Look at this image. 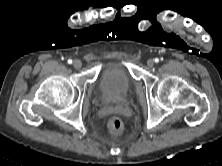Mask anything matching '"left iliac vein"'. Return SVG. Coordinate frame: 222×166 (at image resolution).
I'll return each mask as SVG.
<instances>
[{"label":"left iliac vein","mask_w":222,"mask_h":166,"mask_svg":"<svg viewBox=\"0 0 222 166\" xmlns=\"http://www.w3.org/2000/svg\"><path fill=\"white\" fill-rule=\"evenodd\" d=\"M147 65H148V67H153V65H154V60H153V59H149V60L147 61Z\"/></svg>","instance_id":"left-iliac-vein-1"}]
</instances>
